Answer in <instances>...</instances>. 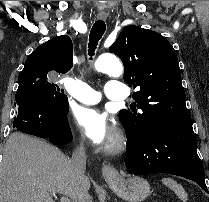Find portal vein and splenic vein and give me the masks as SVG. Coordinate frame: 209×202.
Wrapping results in <instances>:
<instances>
[{
  "label": "portal vein and splenic vein",
  "mask_w": 209,
  "mask_h": 202,
  "mask_svg": "<svg viewBox=\"0 0 209 202\" xmlns=\"http://www.w3.org/2000/svg\"><path fill=\"white\" fill-rule=\"evenodd\" d=\"M50 193L55 194L56 192H55V191H53V190H50ZM61 202H70V200H69L67 197L62 196V198H61Z\"/></svg>",
  "instance_id": "obj_1"
}]
</instances>
